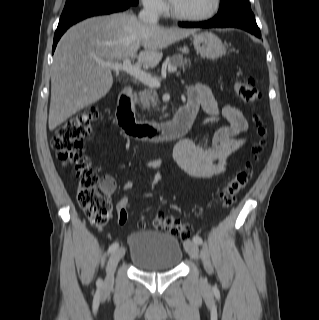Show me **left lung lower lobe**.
Returning a JSON list of instances; mask_svg holds the SVG:
<instances>
[{
    "mask_svg": "<svg viewBox=\"0 0 319 320\" xmlns=\"http://www.w3.org/2000/svg\"><path fill=\"white\" fill-rule=\"evenodd\" d=\"M179 26L186 28L234 27L246 30L259 38L261 37L254 14L251 9L245 8L218 12L214 18L204 22H180Z\"/></svg>",
    "mask_w": 319,
    "mask_h": 320,
    "instance_id": "1",
    "label": "left lung lower lobe"
}]
</instances>
